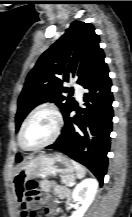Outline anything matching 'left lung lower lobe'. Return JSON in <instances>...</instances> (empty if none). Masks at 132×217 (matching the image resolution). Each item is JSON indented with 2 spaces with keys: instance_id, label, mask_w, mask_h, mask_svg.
I'll list each match as a JSON object with an SVG mask.
<instances>
[{
  "instance_id": "obj_1",
  "label": "left lung lower lobe",
  "mask_w": 132,
  "mask_h": 217,
  "mask_svg": "<svg viewBox=\"0 0 132 217\" xmlns=\"http://www.w3.org/2000/svg\"><path fill=\"white\" fill-rule=\"evenodd\" d=\"M109 70L103 62L96 72L82 85L85 108L76 104L64 115L65 126L57 141L47 146L59 150L75 161L85 165L103 183L108 165L107 153L110 148L112 131L113 95ZM75 110L76 115L70 117ZM17 162L21 158L16 159Z\"/></svg>"
}]
</instances>
